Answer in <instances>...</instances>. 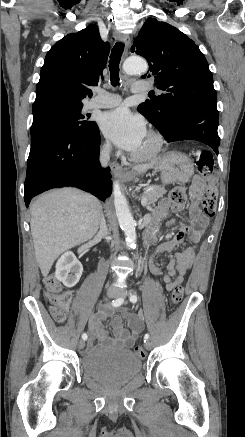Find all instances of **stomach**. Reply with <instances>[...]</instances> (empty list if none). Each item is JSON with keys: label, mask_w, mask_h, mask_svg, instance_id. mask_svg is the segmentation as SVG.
<instances>
[{"label": "stomach", "mask_w": 245, "mask_h": 437, "mask_svg": "<svg viewBox=\"0 0 245 437\" xmlns=\"http://www.w3.org/2000/svg\"><path fill=\"white\" fill-rule=\"evenodd\" d=\"M154 168L161 172V180L164 184L186 183L194 173V166L191 160L183 153L168 152ZM135 178V174H129L128 180Z\"/></svg>", "instance_id": "1"}]
</instances>
